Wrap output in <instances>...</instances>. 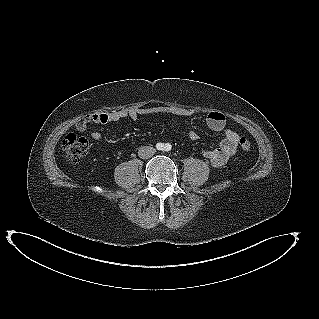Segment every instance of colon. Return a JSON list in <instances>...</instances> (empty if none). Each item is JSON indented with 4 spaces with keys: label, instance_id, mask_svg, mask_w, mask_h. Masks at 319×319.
Wrapping results in <instances>:
<instances>
[{
    "label": "colon",
    "instance_id": "colon-1",
    "mask_svg": "<svg viewBox=\"0 0 319 319\" xmlns=\"http://www.w3.org/2000/svg\"><path fill=\"white\" fill-rule=\"evenodd\" d=\"M239 145L244 152H250L252 149V143L246 138H241ZM62 149L69 163H78L87 154L89 143L87 139L70 133L64 138Z\"/></svg>",
    "mask_w": 319,
    "mask_h": 319
}]
</instances>
